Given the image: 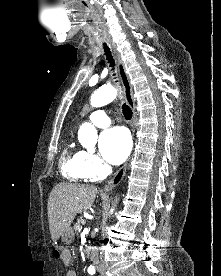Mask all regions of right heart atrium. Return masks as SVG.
<instances>
[{"label": "right heart atrium", "instance_id": "obj_1", "mask_svg": "<svg viewBox=\"0 0 221 276\" xmlns=\"http://www.w3.org/2000/svg\"><path fill=\"white\" fill-rule=\"evenodd\" d=\"M82 166L86 178L95 179L108 172L107 165L95 154L82 151Z\"/></svg>", "mask_w": 221, "mask_h": 276}]
</instances>
